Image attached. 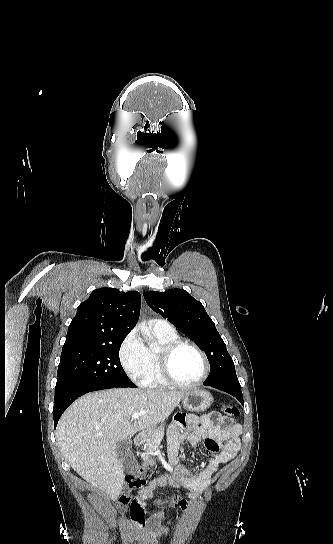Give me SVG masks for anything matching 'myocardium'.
Returning <instances> with one entry per match:
<instances>
[{"label": "myocardium", "instance_id": "f54148a6", "mask_svg": "<svg viewBox=\"0 0 333 544\" xmlns=\"http://www.w3.org/2000/svg\"><path fill=\"white\" fill-rule=\"evenodd\" d=\"M184 347L195 350L202 358L204 371L202 376L195 382L183 383L179 381L173 373L172 361L175 354ZM158 365L162 378L169 384L179 388H194L204 383L210 374V362L206 353L196 344L187 340H176L160 347L158 352Z\"/></svg>", "mask_w": 333, "mask_h": 544}]
</instances>
